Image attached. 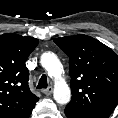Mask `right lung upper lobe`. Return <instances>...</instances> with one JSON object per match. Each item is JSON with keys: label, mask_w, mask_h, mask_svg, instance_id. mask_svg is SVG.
<instances>
[{"label": "right lung upper lobe", "mask_w": 118, "mask_h": 118, "mask_svg": "<svg viewBox=\"0 0 118 118\" xmlns=\"http://www.w3.org/2000/svg\"><path fill=\"white\" fill-rule=\"evenodd\" d=\"M38 39L0 35V118H29L39 100L29 89L25 62Z\"/></svg>", "instance_id": "cb5924a9"}]
</instances>
